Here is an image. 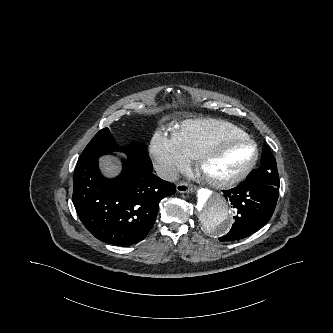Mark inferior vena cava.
<instances>
[{"mask_svg":"<svg viewBox=\"0 0 333 333\" xmlns=\"http://www.w3.org/2000/svg\"><path fill=\"white\" fill-rule=\"evenodd\" d=\"M156 172L160 178L170 182H175L179 176L178 171L175 168L167 165H158L156 167Z\"/></svg>","mask_w":333,"mask_h":333,"instance_id":"inferior-vena-cava-1","label":"inferior vena cava"}]
</instances>
